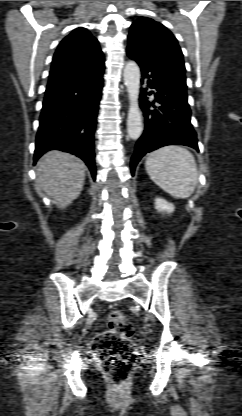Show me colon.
<instances>
[{
  "label": "colon",
  "instance_id": "5ec220e1",
  "mask_svg": "<svg viewBox=\"0 0 242 416\" xmlns=\"http://www.w3.org/2000/svg\"><path fill=\"white\" fill-rule=\"evenodd\" d=\"M132 332L133 326L127 315L121 310H113L108 315L107 329L95 338L94 350L113 384L125 382L136 364Z\"/></svg>",
  "mask_w": 242,
  "mask_h": 416
}]
</instances>
